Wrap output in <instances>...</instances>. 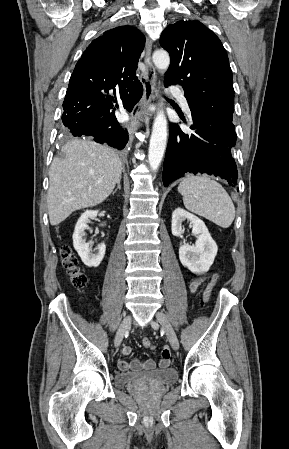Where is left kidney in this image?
<instances>
[{"instance_id":"5707ae66","label":"left kidney","mask_w":289,"mask_h":449,"mask_svg":"<svg viewBox=\"0 0 289 449\" xmlns=\"http://www.w3.org/2000/svg\"><path fill=\"white\" fill-rule=\"evenodd\" d=\"M186 219L192 224V233L198 236L195 245L180 244L179 259L182 265L191 272L202 274L207 272L213 264L218 247L205 223L182 208L175 209L172 214L171 230L174 236H182V222Z\"/></svg>"}]
</instances>
